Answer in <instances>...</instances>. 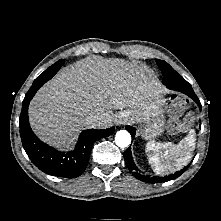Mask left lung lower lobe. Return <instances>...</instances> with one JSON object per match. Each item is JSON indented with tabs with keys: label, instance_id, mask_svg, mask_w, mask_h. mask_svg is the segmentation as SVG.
Instances as JSON below:
<instances>
[{
	"label": "left lung lower lobe",
	"instance_id": "1",
	"mask_svg": "<svg viewBox=\"0 0 221 221\" xmlns=\"http://www.w3.org/2000/svg\"><path fill=\"white\" fill-rule=\"evenodd\" d=\"M164 85L170 90L179 91L181 93H184L185 95H187L191 99H193L197 103V105L199 106V108L201 110V108H202L201 103H200L198 97L196 96V94L194 93L191 85L186 80L181 78L179 81H177L173 84H164ZM126 129L131 132L132 137L134 138V136H135L134 128H132L130 126H126ZM124 159H125L128 169L132 172V174L137 179H139L143 182H148V183H160V182H166V181L173 180V179L179 177L190 166V164H189L181 171H178L175 174H171V175L166 176L164 178H161V177L156 178V177L141 175L140 173H138V168L136 167V165L133 161V158H132L131 147H129L124 152Z\"/></svg>",
	"mask_w": 221,
	"mask_h": 221
}]
</instances>
